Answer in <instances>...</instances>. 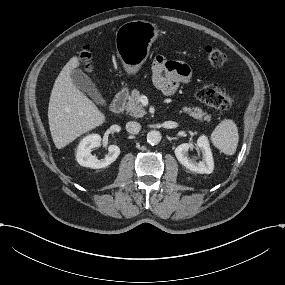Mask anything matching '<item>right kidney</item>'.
<instances>
[{
	"label": "right kidney",
	"mask_w": 285,
	"mask_h": 285,
	"mask_svg": "<svg viewBox=\"0 0 285 285\" xmlns=\"http://www.w3.org/2000/svg\"><path fill=\"white\" fill-rule=\"evenodd\" d=\"M102 138L99 135H90L84 138L76 153V160L79 165L92 169H100L110 165L120 154V149L116 145H108V155L101 160H98L95 156L91 155L94 148L100 146Z\"/></svg>",
	"instance_id": "obj_1"
}]
</instances>
